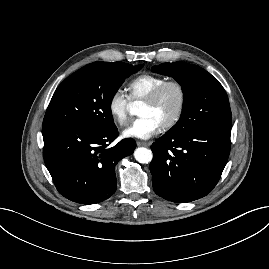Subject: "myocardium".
<instances>
[{
    "label": "myocardium",
    "mask_w": 269,
    "mask_h": 269,
    "mask_svg": "<svg viewBox=\"0 0 269 269\" xmlns=\"http://www.w3.org/2000/svg\"><path fill=\"white\" fill-rule=\"evenodd\" d=\"M169 87H174L179 93V105L174 116L167 123L162 125L161 129L167 131L175 127L181 120L187 105V90L184 84L179 80H167L154 88L144 99L143 103L152 105L157 102L162 93Z\"/></svg>",
    "instance_id": "1"
}]
</instances>
